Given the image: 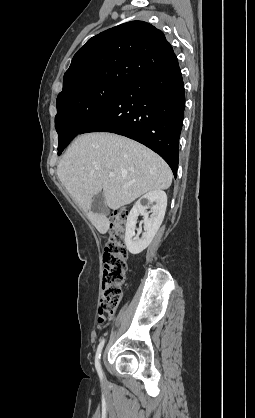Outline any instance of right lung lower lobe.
Listing matches in <instances>:
<instances>
[{
    "label": "right lung lower lobe",
    "mask_w": 255,
    "mask_h": 418,
    "mask_svg": "<svg viewBox=\"0 0 255 418\" xmlns=\"http://www.w3.org/2000/svg\"><path fill=\"white\" fill-rule=\"evenodd\" d=\"M185 90L178 62L128 84L79 134L112 132L158 153L177 175Z\"/></svg>",
    "instance_id": "right-lung-lower-lobe-1"
}]
</instances>
